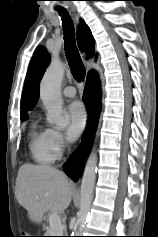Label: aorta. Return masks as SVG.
Here are the masks:
<instances>
[{
	"mask_svg": "<svg viewBox=\"0 0 158 237\" xmlns=\"http://www.w3.org/2000/svg\"><path fill=\"white\" fill-rule=\"evenodd\" d=\"M64 72V65L58 61H53L47 68L40 83V98L48 113V123L60 128L68 124V120H66L62 114L63 101L61 97V83ZM96 169L97 155L93 152L87 159L82 176L81 199L75 225V236H78L89 215L96 180Z\"/></svg>",
	"mask_w": 158,
	"mask_h": 237,
	"instance_id": "obj_1",
	"label": "aorta"
}]
</instances>
